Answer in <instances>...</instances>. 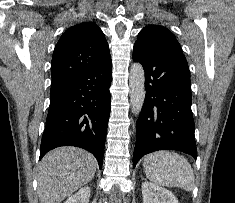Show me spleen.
<instances>
[{
	"label": "spleen",
	"mask_w": 235,
	"mask_h": 203,
	"mask_svg": "<svg viewBox=\"0 0 235 203\" xmlns=\"http://www.w3.org/2000/svg\"><path fill=\"white\" fill-rule=\"evenodd\" d=\"M146 177L156 185L180 187L186 191L194 188L195 176L186 158L169 151L148 154L143 162Z\"/></svg>",
	"instance_id": "3e777b00"
}]
</instances>
